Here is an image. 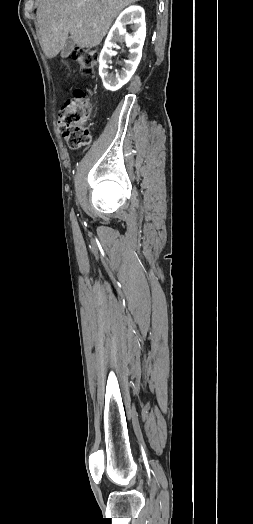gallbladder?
I'll use <instances>...</instances> for the list:
<instances>
[{"label": "gallbladder", "instance_id": "bac80fb5", "mask_svg": "<svg viewBox=\"0 0 253 524\" xmlns=\"http://www.w3.org/2000/svg\"><path fill=\"white\" fill-rule=\"evenodd\" d=\"M73 49H74V42L71 39V37H68L67 40L65 41V44H64L63 48H62L61 56L63 58L68 57L71 54V52L73 51Z\"/></svg>", "mask_w": 253, "mask_h": 524}]
</instances>
